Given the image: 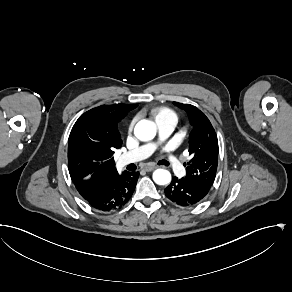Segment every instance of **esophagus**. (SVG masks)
<instances>
[{"label": "esophagus", "mask_w": 292, "mask_h": 292, "mask_svg": "<svg viewBox=\"0 0 292 292\" xmlns=\"http://www.w3.org/2000/svg\"><path fill=\"white\" fill-rule=\"evenodd\" d=\"M143 169H144L146 172H151V171H153V170L156 169V166L145 165V166L143 167Z\"/></svg>", "instance_id": "esophagus-1"}]
</instances>
